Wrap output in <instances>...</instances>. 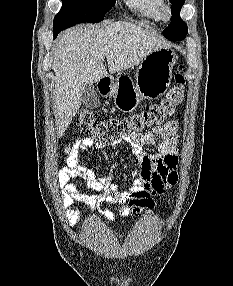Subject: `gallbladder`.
Returning <instances> with one entry per match:
<instances>
[{"instance_id": "1", "label": "gallbladder", "mask_w": 233, "mask_h": 286, "mask_svg": "<svg viewBox=\"0 0 233 286\" xmlns=\"http://www.w3.org/2000/svg\"><path fill=\"white\" fill-rule=\"evenodd\" d=\"M82 103L86 108L90 109L99 107V97L94 85L88 84L84 86L82 90Z\"/></svg>"}]
</instances>
